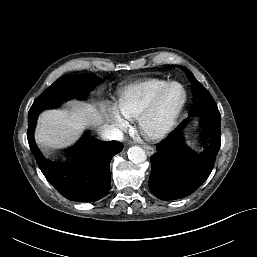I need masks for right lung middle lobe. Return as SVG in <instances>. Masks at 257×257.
<instances>
[{"mask_svg":"<svg viewBox=\"0 0 257 257\" xmlns=\"http://www.w3.org/2000/svg\"><path fill=\"white\" fill-rule=\"evenodd\" d=\"M100 82L101 79L92 74L70 75L58 79L35 100L28 113V120L37 121L42 109L58 104L73 94L89 92L93 84Z\"/></svg>","mask_w":257,"mask_h":257,"instance_id":"dd1d6c3e","label":"right lung middle lobe"}]
</instances>
